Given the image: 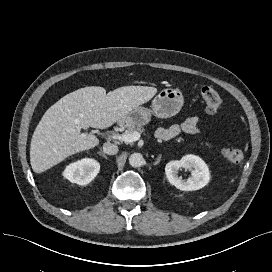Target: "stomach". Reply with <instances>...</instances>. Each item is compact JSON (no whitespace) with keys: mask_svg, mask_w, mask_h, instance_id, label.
Wrapping results in <instances>:
<instances>
[{"mask_svg":"<svg viewBox=\"0 0 272 272\" xmlns=\"http://www.w3.org/2000/svg\"><path fill=\"white\" fill-rule=\"evenodd\" d=\"M184 103L179 89L165 88L152 100L151 109L136 107L120 122L126 126H143L150 122L152 115L158 118H169L181 110Z\"/></svg>","mask_w":272,"mask_h":272,"instance_id":"1","label":"stomach"}]
</instances>
